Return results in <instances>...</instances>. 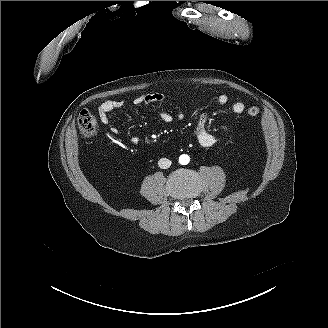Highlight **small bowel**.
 <instances>
[{
	"instance_id": "obj_1",
	"label": "small bowel",
	"mask_w": 328,
	"mask_h": 328,
	"mask_svg": "<svg viewBox=\"0 0 328 328\" xmlns=\"http://www.w3.org/2000/svg\"><path fill=\"white\" fill-rule=\"evenodd\" d=\"M169 97L170 96L165 92H152L137 96L132 103L135 106L149 105L169 100ZM216 100L217 103L220 105H226L229 102V98L225 94L218 95ZM123 104L124 103L121 100L104 101L98 108V115L102 123L106 125L109 124V114L114 110L120 109ZM231 109L234 113H242L245 110V104L241 101H235L234 103H232ZM159 115L164 122H171L174 118V116L170 112L165 110L161 111ZM175 117L181 119L182 114L178 113ZM207 122L208 115L206 113H203L200 116L193 130V135L195 139L202 147L205 148L211 147L216 143L215 136L207 129ZM110 132L116 135L118 133V129L114 126H111ZM138 141L139 139L137 137H132L130 140V142L134 145L137 144Z\"/></svg>"
}]
</instances>
